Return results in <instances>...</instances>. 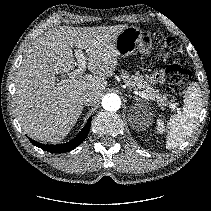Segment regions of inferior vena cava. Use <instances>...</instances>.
Returning a JSON list of instances; mask_svg holds the SVG:
<instances>
[{"label":"inferior vena cava","mask_w":211,"mask_h":211,"mask_svg":"<svg viewBox=\"0 0 211 211\" xmlns=\"http://www.w3.org/2000/svg\"><path fill=\"white\" fill-rule=\"evenodd\" d=\"M79 101L82 105H91L94 101V98L90 93H85L80 96Z\"/></svg>","instance_id":"inferior-vena-cava-1"}]
</instances>
